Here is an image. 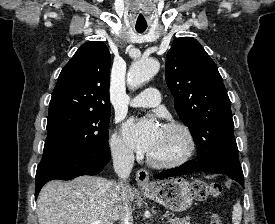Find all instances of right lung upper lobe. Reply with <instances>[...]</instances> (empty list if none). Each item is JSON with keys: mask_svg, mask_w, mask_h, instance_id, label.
I'll use <instances>...</instances> for the list:
<instances>
[{"mask_svg": "<svg viewBox=\"0 0 275 224\" xmlns=\"http://www.w3.org/2000/svg\"><path fill=\"white\" fill-rule=\"evenodd\" d=\"M110 60L104 42L92 41L80 46L58 77L49 115L63 111H111Z\"/></svg>", "mask_w": 275, "mask_h": 224, "instance_id": "cb5924a9", "label": "right lung upper lobe"}]
</instances>
